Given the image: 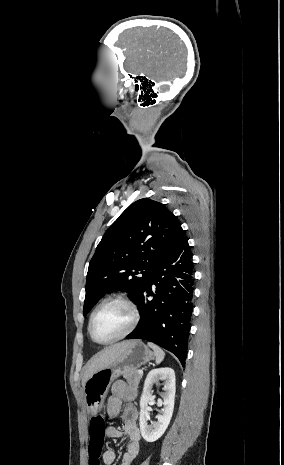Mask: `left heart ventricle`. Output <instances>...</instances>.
<instances>
[{"instance_id":"obj_1","label":"left heart ventricle","mask_w":284,"mask_h":465,"mask_svg":"<svg viewBox=\"0 0 284 465\" xmlns=\"http://www.w3.org/2000/svg\"><path fill=\"white\" fill-rule=\"evenodd\" d=\"M131 323L130 311L118 304L103 307L92 323L93 337L98 341H109L123 334Z\"/></svg>"}]
</instances>
